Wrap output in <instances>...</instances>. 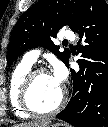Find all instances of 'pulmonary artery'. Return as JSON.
<instances>
[{
	"label": "pulmonary artery",
	"mask_w": 108,
	"mask_h": 127,
	"mask_svg": "<svg viewBox=\"0 0 108 127\" xmlns=\"http://www.w3.org/2000/svg\"><path fill=\"white\" fill-rule=\"evenodd\" d=\"M62 37L67 40L75 39V35L71 31H64L62 34ZM40 52L41 51L39 49L30 50L24 55L23 60L27 63L34 64L37 61V58L39 57Z\"/></svg>",
	"instance_id": "pulmonary-artery-1"
}]
</instances>
